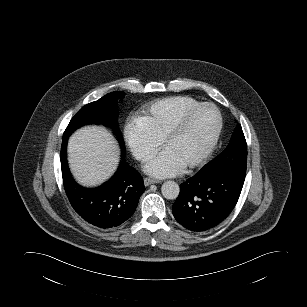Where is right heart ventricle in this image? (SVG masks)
<instances>
[{
    "instance_id": "right-heart-ventricle-1",
    "label": "right heart ventricle",
    "mask_w": 307,
    "mask_h": 307,
    "mask_svg": "<svg viewBox=\"0 0 307 307\" xmlns=\"http://www.w3.org/2000/svg\"><path fill=\"white\" fill-rule=\"evenodd\" d=\"M198 103L199 101L191 96H170L151 103L142 117L151 131L162 139L182 113Z\"/></svg>"
}]
</instances>
